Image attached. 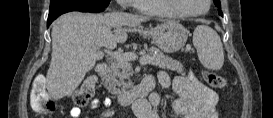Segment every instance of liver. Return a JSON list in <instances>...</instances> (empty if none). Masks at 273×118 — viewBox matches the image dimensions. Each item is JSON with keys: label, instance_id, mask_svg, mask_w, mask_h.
I'll list each match as a JSON object with an SVG mask.
<instances>
[{"label": "liver", "instance_id": "1", "mask_svg": "<svg viewBox=\"0 0 273 118\" xmlns=\"http://www.w3.org/2000/svg\"><path fill=\"white\" fill-rule=\"evenodd\" d=\"M150 17L111 12L104 15L70 12L53 24L52 58L47 90L55 99L71 96L87 72L104 56L100 47L115 48L127 40L122 26L135 27ZM115 28V33L111 32Z\"/></svg>", "mask_w": 273, "mask_h": 118}]
</instances>
